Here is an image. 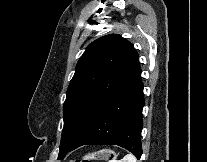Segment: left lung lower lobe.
<instances>
[{"label": "left lung lower lobe", "instance_id": "left-lung-lower-lobe-1", "mask_svg": "<svg viewBox=\"0 0 207 162\" xmlns=\"http://www.w3.org/2000/svg\"><path fill=\"white\" fill-rule=\"evenodd\" d=\"M143 106V83L139 68L95 111L67 153L83 145L107 144L121 146L140 159Z\"/></svg>", "mask_w": 207, "mask_h": 162}]
</instances>
